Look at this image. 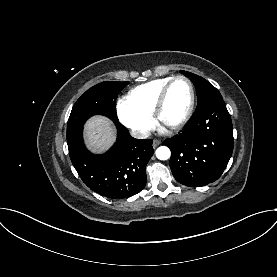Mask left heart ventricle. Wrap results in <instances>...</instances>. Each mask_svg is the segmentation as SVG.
Listing matches in <instances>:
<instances>
[{
    "label": "left heart ventricle",
    "instance_id": "obj_1",
    "mask_svg": "<svg viewBox=\"0 0 277 277\" xmlns=\"http://www.w3.org/2000/svg\"><path fill=\"white\" fill-rule=\"evenodd\" d=\"M190 102V89L185 81H176L168 93L161 114V123L169 126L179 121L186 112Z\"/></svg>",
    "mask_w": 277,
    "mask_h": 277
}]
</instances>
